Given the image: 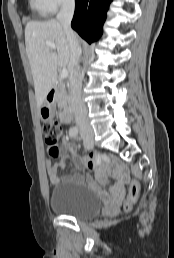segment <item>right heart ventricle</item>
Instances as JSON below:
<instances>
[{
	"mask_svg": "<svg viewBox=\"0 0 174 258\" xmlns=\"http://www.w3.org/2000/svg\"><path fill=\"white\" fill-rule=\"evenodd\" d=\"M31 7L40 14H45L46 10L41 0H29Z\"/></svg>",
	"mask_w": 174,
	"mask_h": 258,
	"instance_id": "right-heart-ventricle-1",
	"label": "right heart ventricle"
}]
</instances>
